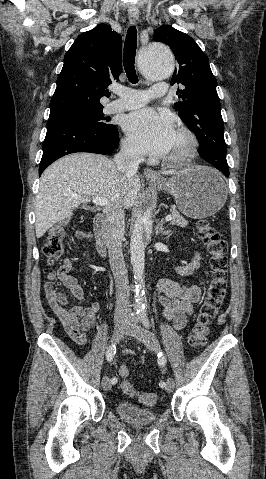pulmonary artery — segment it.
Here are the masks:
<instances>
[{
  "instance_id": "1",
  "label": "pulmonary artery",
  "mask_w": 266,
  "mask_h": 479,
  "mask_svg": "<svg viewBox=\"0 0 266 479\" xmlns=\"http://www.w3.org/2000/svg\"><path fill=\"white\" fill-rule=\"evenodd\" d=\"M168 89V85L159 82L153 85L149 90L122 88L115 89L119 98L108 103L107 110L109 112L125 111L133 108L141 107L146 104L148 98L164 97Z\"/></svg>"
}]
</instances>
